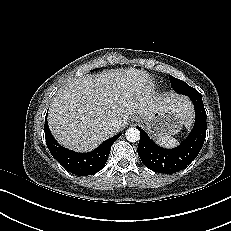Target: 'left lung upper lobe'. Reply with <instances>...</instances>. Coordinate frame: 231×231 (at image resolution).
<instances>
[{"mask_svg":"<svg viewBox=\"0 0 231 231\" xmlns=\"http://www.w3.org/2000/svg\"><path fill=\"white\" fill-rule=\"evenodd\" d=\"M170 78V82H171V86L172 88L180 94H184L187 96H191V95H201L195 88L189 86L188 84H186L184 81L179 80L171 75H169Z\"/></svg>","mask_w":231,"mask_h":231,"instance_id":"1","label":"left lung upper lobe"}]
</instances>
